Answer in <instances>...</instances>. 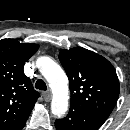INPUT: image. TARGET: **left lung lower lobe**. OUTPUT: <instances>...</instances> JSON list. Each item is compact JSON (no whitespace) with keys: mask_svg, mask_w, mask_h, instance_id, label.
<instances>
[{"mask_svg":"<svg viewBox=\"0 0 130 130\" xmlns=\"http://www.w3.org/2000/svg\"><path fill=\"white\" fill-rule=\"evenodd\" d=\"M107 118L94 111L70 107L68 115L55 121L57 130H97Z\"/></svg>","mask_w":130,"mask_h":130,"instance_id":"1","label":"left lung lower lobe"}]
</instances>
